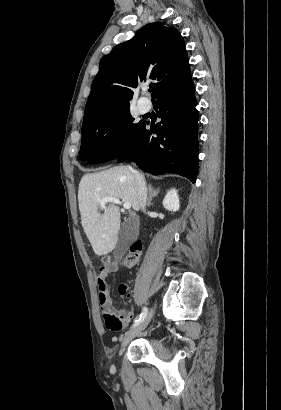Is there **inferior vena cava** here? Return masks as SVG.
Returning a JSON list of instances; mask_svg holds the SVG:
<instances>
[{
    "label": "inferior vena cava",
    "mask_w": 281,
    "mask_h": 410,
    "mask_svg": "<svg viewBox=\"0 0 281 410\" xmlns=\"http://www.w3.org/2000/svg\"><path fill=\"white\" fill-rule=\"evenodd\" d=\"M129 169L132 171L134 174L136 183H137V190H138V199H139V205L140 208L145 211L146 204H147V188H146V183L144 181L143 176L129 167Z\"/></svg>",
    "instance_id": "602c4592"
}]
</instances>
